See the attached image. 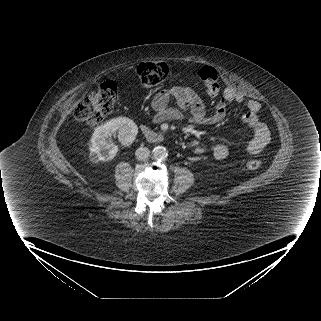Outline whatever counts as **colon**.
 Instances as JSON below:
<instances>
[{
  "mask_svg": "<svg viewBox=\"0 0 321 321\" xmlns=\"http://www.w3.org/2000/svg\"><path fill=\"white\" fill-rule=\"evenodd\" d=\"M137 75L143 85L152 87L168 80L172 74L171 67L165 62H146L137 67ZM197 76L204 84L209 96L215 97L220 92L219 76L215 68L203 66ZM117 99V86L113 81H104L88 93L77 105L74 116L80 122L96 124L108 117ZM261 160L252 158L247 161L249 170L261 167Z\"/></svg>",
  "mask_w": 321,
  "mask_h": 321,
  "instance_id": "colon-1",
  "label": "colon"
}]
</instances>
